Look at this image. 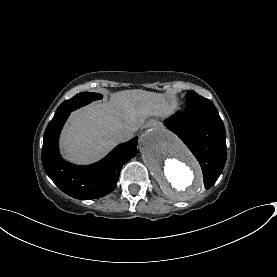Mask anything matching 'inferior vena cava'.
<instances>
[{
    "instance_id": "1",
    "label": "inferior vena cava",
    "mask_w": 277,
    "mask_h": 277,
    "mask_svg": "<svg viewBox=\"0 0 277 277\" xmlns=\"http://www.w3.org/2000/svg\"><path fill=\"white\" fill-rule=\"evenodd\" d=\"M134 131L130 128H121L114 132V137L118 142H125L133 137Z\"/></svg>"
}]
</instances>
